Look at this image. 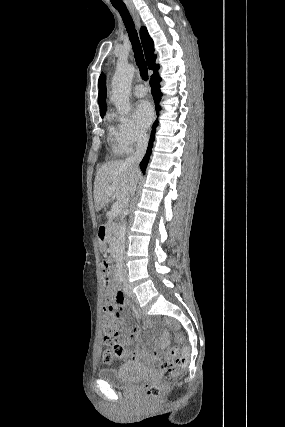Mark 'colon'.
<instances>
[{
  "instance_id": "5ec220e1",
  "label": "colon",
  "mask_w": 285,
  "mask_h": 427,
  "mask_svg": "<svg viewBox=\"0 0 285 427\" xmlns=\"http://www.w3.org/2000/svg\"><path fill=\"white\" fill-rule=\"evenodd\" d=\"M101 271L105 286L104 292V308L105 316L103 320V334L104 342L106 344V350L103 354V359L106 363H111L117 357L125 351V347L119 341L117 337V325L115 310L118 308L117 303V291L114 283L111 280V265L108 261H103L101 265ZM167 323L172 328H177V322L171 318L167 320ZM179 349L173 348L169 352V356H175L174 362L164 361L160 364L165 379L158 385L149 386L146 388V397L149 402H155L162 393L169 388V379L178 376L181 370H183L188 363L187 349H182L181 354H178ZM155 356L152 357L154 361Z\"/></svg>"
}]
</instances>
